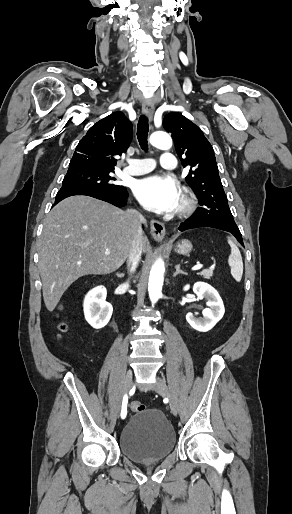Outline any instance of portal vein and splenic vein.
<instances>
[{"mask_svg": "<svg viewBox=\"0 0 292 514\" xmlns=\"http://www.w3.org/2000/svg\"><path fill=\"white\" fill-rule=\"evenodd\" d=\"M105 254H110L109 250H106ZM201 266H194L192 270H200Z\"/></svg>", "mask_w": 292, "mask_h": 514, "instance_id": "portal-vein-and-splenic-vein-1", "label": "portal vein and splenic vein"}]
</instances>
